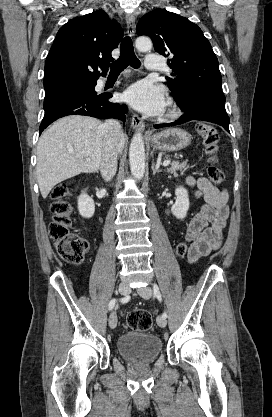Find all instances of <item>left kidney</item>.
Returning a JSON list of instances; mask_svg holds the SVG:
<instances>
[{
    "label": "left kidney",
    "instance_id": "left-kidney-1",
    "mask_svg": "<svg viewBox=\"0 0 272 417\" xmlns=\"http://www.w3.org/2000/svg\"><path fill=\"white\" fill-rule=\"evenodd\" d=\"M175 195L176 202L172 205L171 212L177 219H184L190 205L188 191L184 187H177Z\"/></svg>",
    "mask_w": 272,
    "mask_h": 417
}]
</instances>
